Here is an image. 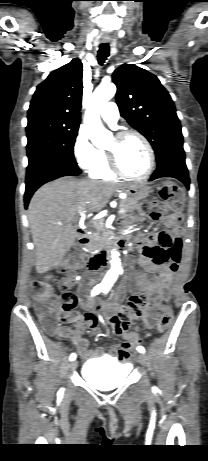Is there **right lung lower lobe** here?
Returning <instances> with one entry per match:
<instances>
[{"instance_id": "obj_1", "label": "right lung lower lobe", "mask_w": 208, "mask_h": 461, "mask_svg": "<svg viewBox=\"0 0 208 461\" xmlns=\"http://www.w3.org/2000/svg\"><path fill=\"white\" fill-rule=\"evenodd\" d=\"M81 170L77 164L59 157L43 158L27 167L26 190L24 195L25 208L33 193L43 184L63 176H77Z\"/></svg>"}]
</instances>
